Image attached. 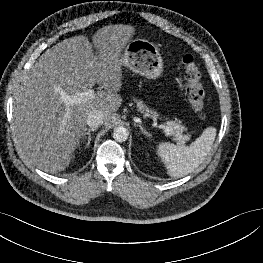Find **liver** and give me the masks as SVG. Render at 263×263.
I'll list each match as a JSON object with an SVG mask.
<instances>
[{
  "label": "liver",
  "mask_w": 263,
  "mask_h": 263,
  "mask_svg": "<svg viewBox=\"0 0 263 263\" xmlns=\"http://www.w3.org/2000/svg\"><path fill=\"white\" fill-rule=\"evenodd\" d=\"M135 34L130 25H108L93 35L65 39L46 50L23 77L14 95L13 130L18 150L37 168L57 173L70 164L84 135L87 115L100 111L109 125L122 98L121 51ZM98 84L87 101L68 107L61 91L74 95Z\"/></svg>",
  "instance_id": "liver-1"
}]
</instances>
